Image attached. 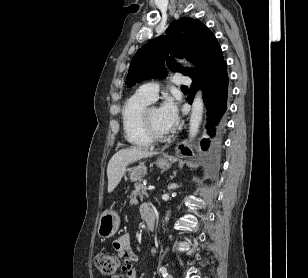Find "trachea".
Returning <instances> with one entry per match:
<instances>
[{
	"instance_id": "obj_1",
	"label": "trachea",
	"mask_w": 308,
	"mask_h": 278,
	"mask_svg": "<svg viewBox=\"0 0 308 278\" xmlns=\"http://www.w3.org/2000/svg\"><path fill=\"white\" fill-rule=\"evenodd\" d=\"M182 89H185V90H186V89H188V87H186V86H183V87H182Z\"/></svg>"
}]
</instances>
